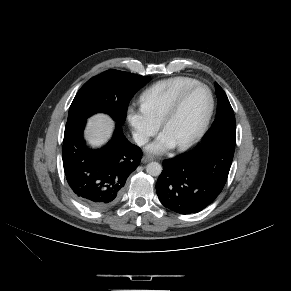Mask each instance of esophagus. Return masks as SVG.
I'll list each match as a JSON object with an SVG mask.
<instances>
[{"mask_svg": "<svg viewBox=\"0 0 291 291\" xmlns=\"http://www.w3.org/2000/svg\"><path fill=\"white\" fill-rule=\"evenodd\" d=\"M153 160H154V158L152 156H148V155L143 156L141 159V161L143 163H148V162L153 161Z\"/></svg>", "mask_w": 291, "mask_h": 291, "instance_id": "esophagus-1", "label": "esophagus"}]
</instances>
